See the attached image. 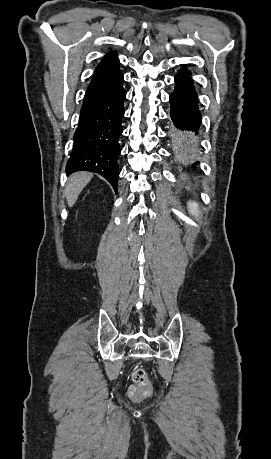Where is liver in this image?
Masks as SVG:
<instances>
[{
  "mask_svg": "<svg viewBox=\"0 0 271 459\" xmlns=\"http://www.w3.org/2000/svg\"><path fill=\"white\" fill-rule=\"evenodd\" d=\"M91 178L92 174H88V172H78V174H72V176H70L65 190L69 208H72L75 202H77L80 192L87 186Z\"/></svg>",
  "mask_w": 271,
  "mask_h": 459,
  "instance_id": "1",
  "label": "liver"
}]
</instances>
